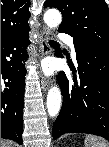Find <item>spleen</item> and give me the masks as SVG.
I'll return each mask as SVG.
<instances>
[{
	"mask_svg": "<svg viewBox=\"0 0 109 147\" xmlns=\"http://www.w3.org/2000/svg\"><path fill=\"white\" fill-rule=\"evenodd\" d=\"M84 143L85 147H109L108 141L94 135H86Z\"/></svg>",
	"mask_w": 109,
	"mask_h": 147,
	"instance_id": "3e777b00",
	"label": "spleen"
}]
</instances>
